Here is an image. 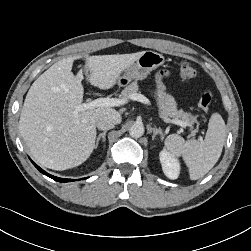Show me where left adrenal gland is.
Segmentation results:
<instances>
[{"instance_id": "obj_1", "label": "left adrenal gland", "mask_w": 251, "mask_h": 251, "mask_svg": "<svg viewBox=\"0 0 251 251\" xmlns=\"http://www.w3.org/2000/svg\"><path fill=\"white\" fill-rule=\"evenodd\" d=\"M150 131L153 132L152 140H154L157 135H160L161 138L163 137V133L160 128L157 129L156 127H153L150 128Z\"/></svg>"}]
</instances>
